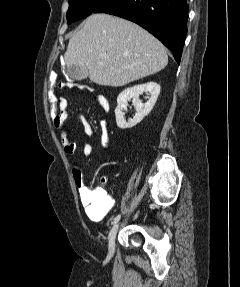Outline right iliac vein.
Instances as JSON below:
<instances>
[{
    "instance_id": "obj_1",
    "label": "right iliac vein",
    "mask_w": 240,
    "mask_h": 287,
    "mask_svg": "<svg viewBox=\"0 0 240 287\" xmlns=\"http://www.w3.org/2000/svg\"><path fill=\"white\" fill-rule=\"evenodd\" d=\"M119 224H115L108 235V248H109V253L112 254L115 249V238L118 232Z\"/></svg>"
}]
</instances>
